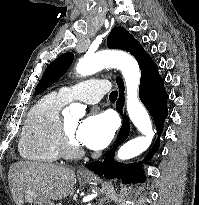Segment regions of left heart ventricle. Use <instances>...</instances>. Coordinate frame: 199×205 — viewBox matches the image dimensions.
Wrapping results in <instances>:
<instances>
[{
  "label": "left heart ventricle",
  "instance_id": "b2bd125f",
  "mask_svg": "<svg viewBox=\"0 0 199 205\" xmlns=\"http://www.w3.org/2000/svg\"><path fill=\"white\" fill-rule=\"evenodd\" d=\"M64 121L70 138L75 143H78L76 139V132L79 126V119L75 117H70V118H66Z\"/></svg>",
  "mask_w": 199,
  "mask_h": 205
}]
</instances>
